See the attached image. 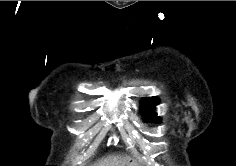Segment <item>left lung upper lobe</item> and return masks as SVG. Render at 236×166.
<instances>
[{
  "label": "left lung upper lobe",
  "mask_w": 236,
  "mask_h": 166,
  "mask_svg": "<svg viewBox=\"0 0 236 166\" xmlns=\"http://www.w3.org/2000/svg\"><path fill=\"white\" fill-rule=\"evenodd\" d=\"M158 105L156 98L146 97L141 103V113L145 116V122H160V117L154 113L155 106Z\"/></svg>",
  "instance_id": "obj_1"
}]
</instances>
